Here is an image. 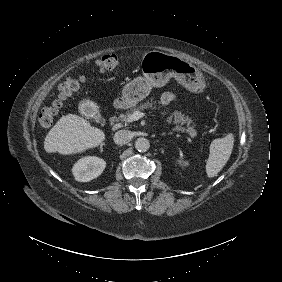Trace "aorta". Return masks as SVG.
<instances>
[{"instance_id": "obj_1", "label": "aorta", "mask_w": 282, "mask_h": 282, "mask_svg": "<svg viewBox=\"0 0 282 282\" xmlns=\"http://www.w3.org/2000/svg\"><path fill=\"white\" fill-rule=\"evenodd\" d=\"M134 145H135L136 150H138L139 152H145L150 147V143L148 139L146 138H138L135 141Z\"/></svg>"}]
</instances>
